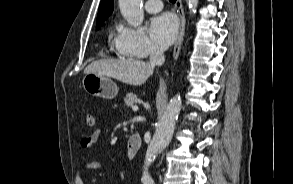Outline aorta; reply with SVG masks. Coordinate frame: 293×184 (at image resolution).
Segmentation results:
<instances>
[{"mask_svg": "<svg viewBox=\"0 0 293 184\" xmlns=\"http://www.w3.org/2000/svg\"><path fill=\"white\" fill-rule=\"evenodd\" d=\"M142 0H119V8L122 16L132 27H139L144 20V13L141 7ZM190 13H195L198 5V0H188ZM181 110L180 96L173 97L159 120L155 134L147 148L144 172L142 176L143 184H154V181L148 173V167L155 160L158 153H160L171 141L174 133L176 120Z\"/></svg>", "mask_w": 293, "mask_h": 184, "instance_id": "762f6f07", "label": "aorta"}]
</instances>
